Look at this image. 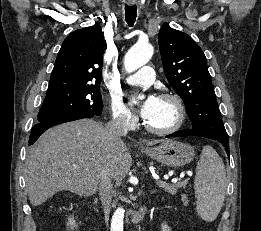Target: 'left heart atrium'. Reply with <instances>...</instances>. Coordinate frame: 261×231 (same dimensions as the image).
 <instances>
[{
    "instance_id": "1",
    "label": "left heart atrium",
    "mask_w": 261,
    "mask_h": 231,
    "mask_svg": "<svg viewBox=\"0 0 261 231\" xmlns=\"http://www.w3.org/2000/svg\"><path fill=\"white\" fill-rule=\"evenodd\" d=\"M157 97H155L154 95H149L146 97V99H144L140 105H139V112L141 114V116L146 119L148 118V116L150 115V113L152 112L156 102H157ZM137 101L136 97H131L130 98V102L131 103H135Z\"/></svg>"
}]
</instances>
